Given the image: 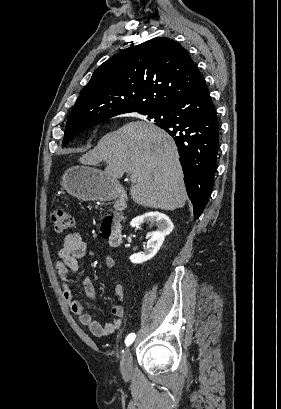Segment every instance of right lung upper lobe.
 <instances>
[{"label": "right lung upper lobe", "instance_id": "obj_1", "mask_svg": "<svg viewBox=\"0 0 281 409\" xmlns=\"http://www.w3.org/2000/svg\"><path fill=\"white\" fill-rule=\"evenodd\" d=\"M202 78L188 51L157 37L114 55L93 73L66 128L129 112H154L188 93Z\"/></svg>", "mask_w": 281, "mask_h": 409}]
</instances>
